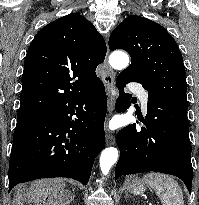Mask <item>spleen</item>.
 I'll return each mask as SVG.
<instances>
[{
    "label": "spleen",
    "instance_id": "1",
    "mask_svg": "<svg viewBox=\"0 0 199 205\" xmlns=\"http://www.w3.org/2000/svg\"><path fill=\"white\" fill-rule=\"evenodd\" d=\"M143 181L156 190L163 205H184L182 189L170 176L152 172L144 175Z\"/></svg>",
    "mask_w": 199,
    "mask_h": 205
}]
</instances>
